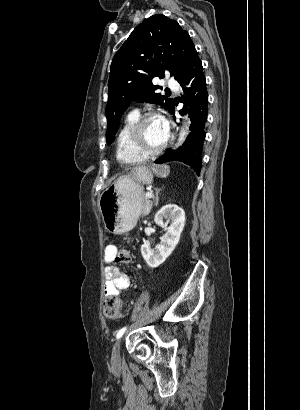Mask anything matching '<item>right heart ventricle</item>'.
I'll use <instances>...</instances> for the list:
<instances>
[{
    "label": "right heart ventricle",
    "instance_id": "obj_1",
    "mask_svg": "<svg viewBox=\"0 0 300 410\" xmlns=\"http://www.w3.org/2000/svg\"><path fill=\"white\" fill-rule=\"evenodd\" d=\"M139 118L137 111L130 112L124 119L116 138V156L122 163L139 164L146 161L147 157L139 153L132 146L130 133L134 123Z\"/></svg>",
    "mask_w": 300,
    "mask_h": 410
}]
</instances>
